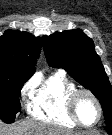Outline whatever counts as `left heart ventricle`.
<instances>
[{
	"label": "left heart ventricle",
	"mask_w": 112,
	"mask_h": 135,
	"mask_svg": "<svg viewBox=\"0 0 112 135\" xmlns=\"http://www.w3.org/2000/svg\"><path fill=\"white\" fill-rule=\"evenodd\" d=\"M77 112L83 123L93 124L98 117V110L93 100L82 94L77 98Z\"/></svg>",
	"instance_id": "b2bd125f"
}]
</instances>
